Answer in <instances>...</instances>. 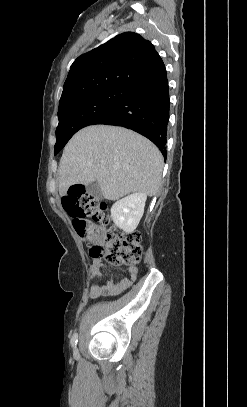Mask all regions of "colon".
<instances>
[{"instance_id":"colon-1","label":"colon","mask_w":247,"mask_h":407,"mask_svg":"<svg viewBox=\"0 0 247 407\" xmlns=\"http://www.w3.org/2000/svg\"><path fill=\"white\" fill-rule=\"evenodd\" d=\"M64 210L72 217L73 226L89 245L94 258H104L113 266L135 267L143 255L138 231L118 233L109 227L106 203L88 194L81 186L71 187L62 199Z\"/></svg>"}]
</instances>
